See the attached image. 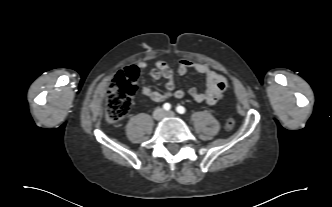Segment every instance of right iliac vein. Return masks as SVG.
Listing matches in <instances>:
<instances>
[{
  "mask_svg": "<svg viewBox=\"0 0 332 207\" xmlns=\"http://www.w3.org/2000/svg\"><path fill=\"white\" fill-rule=\"evenodd\" d=\"M154 116L156 119H161L164 116V111L161 108H158L154 112Z\"/></svg>",
  "mask_w": 332,
  "mask_h": 207,
  "instance_id": "63e3f726",
  "label": "right iliac vein"
}]
</instances>
